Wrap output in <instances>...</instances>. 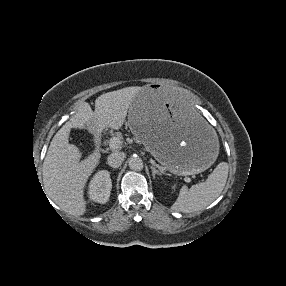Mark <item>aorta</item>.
<instances>
[{
    "instance_id": "obj_1",
    "label": "aorta",
    "mask_w": 286,
    "mask_h": 286,
    "mask_svg": "<svg viewBox=\"0 0 286 286\" xmlns=\"http://www.w3.org/2000/svg\"><path fill=\"white\" fill-rule=\"evenodd\" d=\"M130 169L140 171L143 169V161L139 156H131L128 159Z\"/></svg>"
}]
</instances>
